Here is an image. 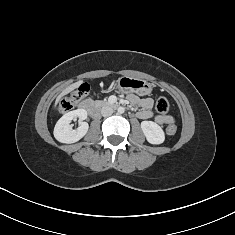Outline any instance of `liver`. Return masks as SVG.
<instances>
[{
	"instance_id": "obj_1",
	"label": "liver",
	"mask_w": 235,
	"mask_h": 235,
	"mask_svg": "<svg viewBox=\"0 0 235 235\" xmlns=\"http://www.w3.org/2000/svg\"><path fill=\"white\" fill-rule=\"evenodd\" d=\"M82 81H78L75 82L73 84H71L70 86H68L66 89H64L60 95H58V97L56 98L55 101V106L58 104V102L61 100V98L65 95H67L68 93H70L71 91H73L74 89L78 88L81 85Z\"/></svg>"
}]
</instances>
